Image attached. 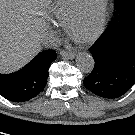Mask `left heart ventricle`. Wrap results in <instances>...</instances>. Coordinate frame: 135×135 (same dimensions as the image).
<instances>
[{
    "mask_svg": "<svg viewBox=\"0 0 135 135\" xmlns=\"http://www.w3.org/2000/svg\"><path fill=\"white\" fill-rule=\"evenodd\" d=\"M102 0H91L90 12L88 15L79 22L74 28V36L77 39H85L92 34L96 25V14L100 8Z\"/></svg>",
    "mask_w": 135,
    "mask_h": 135,
    "instance_id": "1",
    "label": "left heart ventricle"
}]
</instances>
